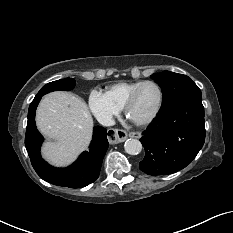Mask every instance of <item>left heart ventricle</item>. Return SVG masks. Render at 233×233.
Instances as JSON below:
<instances>
[{"instance_id":"b2bd125f","label":"left heart ventricle","mask_w":233,"mask_h":233,"mask_svg":"<svg viewBox=\"0 0 233 233\" xmlns=\"http://www.w3.org/2000/svg\"><path fill=\"white\" fill-rule=\"evenodd\" d=\"M158 96V90L154 85H145L140 90L136 102L131 108V118L142 119L147 117L156 107Z\"/></svg>"}]
</instances>
